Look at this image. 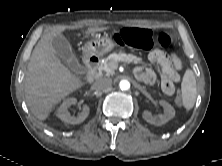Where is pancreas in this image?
<instances>
[{
	"label": "pancreas",
	"mask_w": 222,
	"mask_h": 166,
	"mask_svg": "<svg viewBox=\"0 0 222 166\" xmlns=\"http://www.w3.org/2000/svg\"><path fill=\"white\" fill-rule=\"evenodd\" d=\"M120 61L126 63L140 64L142 63V58L122 52L113 53L105 58L103 62H101L100 69L105 72L106 76L113 75L115 69L118 67V62Z\"/></svg>",
	"instance_id": "pancreas-1"
}]
</instances>
